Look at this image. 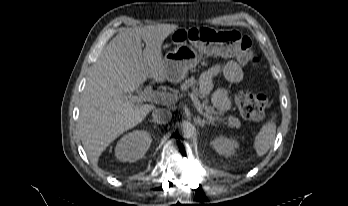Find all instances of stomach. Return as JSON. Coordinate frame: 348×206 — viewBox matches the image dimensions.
I'll list each match as a JSON object with an SVG mask.
<instances>
[{
	"instance_id": "stomach-1",
	"label": "stomach",
	"mask_w": 348,
	"mask_h": 206,
	"mask_svg": "<svg viewBox=\"0 0 348 206\" xmlns=\"http://www.w3.org/2000/svg\"><path fill=\"white\" fill-rule=\"evenodd\" d=\"M174 50L166 53L163 59L164 70L169 81L177 83L183 80L187 72L199 65L203 53L194 49V43L187 38L175 42Z\"/></svg>"
}]
</instances>
